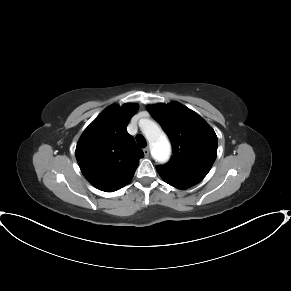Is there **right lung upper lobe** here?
Returning <instances> with one entry per match:
<instances>
[{
	"mask_svg": "<svg viewBox=\"0 0 291 291\" xmlns=\"http://www.w3.org/2000/svg\"><path fill=\"white\" fill-rule=\"evenodd\" d=\"M138 105H111L85 129L75 155L84 177L96 188L114 192L127 185L144 157L126 127Z\"/></svg>",
	"mask_w": 291,
	"mask_h": 291,
	"instance_id": "obj_1",
	"label": "right lung upper lobe"
}]
</instances>
